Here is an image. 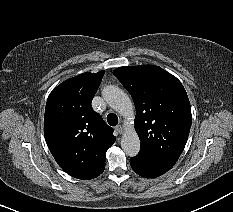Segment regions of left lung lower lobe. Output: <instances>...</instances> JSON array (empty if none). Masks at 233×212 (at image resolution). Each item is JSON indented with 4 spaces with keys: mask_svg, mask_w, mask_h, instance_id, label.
Masks as SVG:
<instances>
[{
    "mask_svg": "<svg viewBox=\"0 0 233 212\" xmlns=\"http://www.w3.org/2000/svg\"><path fill=\"white\" fill-rule=\"evenodd\" d=\"M130 165L138 175L146 178L158 177L174 166L173 163L162 161L142 152L130 159Z\"/></svg>",
    "mask_w": 233,
    "mask_h": 212,
    "instance_id": "left-lung-lower-lobe-1",
    "label": "left lung lower lobe"
}]
</instances>
